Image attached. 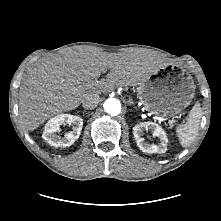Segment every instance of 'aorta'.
<instances>
[{"mask_svg":"<svg viewBox=\"0 0 221 221\" xmlns=\"http://www.w3.org/2000/svg\"><path fill=\"white\" fill-rule=\"evenodd\" d=\"M104 111L111 116H116L120 113L121 111V104L120 101L117 100L116 98H108L104 104Z\"/></svg>","mask_w":221,"mask_h":221,"instance_id":"obj_1","label":"aorta"}]
</instances>
